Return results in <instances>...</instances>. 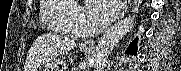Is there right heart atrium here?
Returning <instances> with one entry per match:
<instances>
[{
    "label": "right heart atrium",
    "instance_id": "1",
    "mask_svg": "<svg viewBox=\"0 0 181 71\" xmlns=\"http://www.w3.org/2000/svg\"><path fill=\"white\" fill-rule=\"evenodd\" d=\"M75 24L77 28L80 30L81 26L84 24V17L81 12H79L75 18Z\"/></svg>",
    "mask_w": 181,
    "mask_h": 71
}]
</instances>
